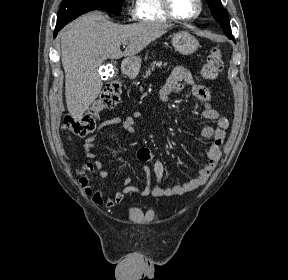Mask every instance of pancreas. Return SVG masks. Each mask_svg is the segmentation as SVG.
<instances>
[{
	"mask_svg": "<svg viewBox=\"0 0 288 280\" xmlns=\"http://www.w3.org/2000/svg\"><path fill=\"white\" fill-rule=\"evenodd\" d=\"M155 65L158 66V67H161V66H162V62H154L153 64H151V68H149L148 70H146V74H145L144 78H147L148 76L151 75V71L154 70ZM163 65L166 66L167 64L164 63Z\"/></svg>",
	"mask_w": 288,
	"mask_h": 280,
	"instance_id": "cf45deb5",
	"label": "pancreas"
}]
</instances>
